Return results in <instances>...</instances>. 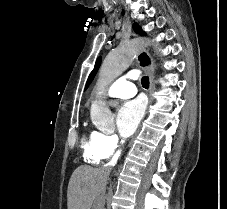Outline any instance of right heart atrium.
<instances>
[{"instance_id": "1", "label": "right heart atrium", "mask_w": 227, "mask_h": 209, "mask_svg": "<svg viewBox=\"0 0 227 209\" xmlns=\"http://www.w3.org/2000/svg\"><path fill=\"white\" fill-rule=\"evenodd\" d=\"M122 144V140L115 134L102 133V145L109 155L118 152Z\"/></svg>"}]
</instances>
